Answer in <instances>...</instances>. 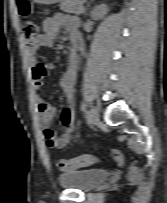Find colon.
Listing matches in <instances>:
<instances>
[{
  "label": "colon",
  "instance_id": "1",
  "mask_svg": "<svg viewBox=\"0 0 167 203\" xmlns=\"http://www.w3.org/2000/svg\"><path fill=\"white\" fill-rule=\"evenodd\" d=\"M18 11L21 16L25 17L24 22V36L27 39H33L37 37L40 33V25L39 23L30 18L31 14V6L28 0H18ZM111 156L113 160L120 164L122 162V155L121 152L118 150H112ZM99 161V158L95 155H85L76 159L68 160V159H60L57 162V167L61 171H68L73 170L79 167L91 165L94 163H97ZM130 178L135 179L138 176V171L136 168H133L130 171Z\"/></svg>",
  "mask_w": 167,
  "mask_h": 203
}]
</instances>
